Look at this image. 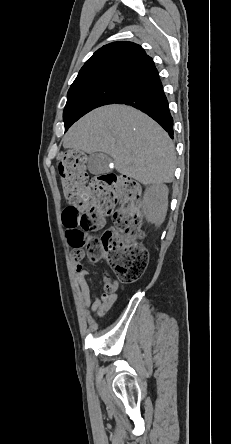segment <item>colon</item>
<instances>
[{
  "instance_id": "obj_1",
  "label": "colon",
  "mask_w": 231,
  "mask_h": 444,
  "mask_svg": "<svg viewBox=\"0 0 231 444\" xmlns=\"http://www.w3.org/2000/svg\"><path fill=\"white\" fill-rule=\"evenodd\" d=\"M85 155L75 150L62 152L58 170L68 206L63 211L66 229L81 234L97 231L112 214L114 229L101 237H84L85 256L91 263L105 257L112 273L104 275V293L112 294L119 283L141 278L148 265V252L138 242L142 235L141 187L137 181L112 173L88 179Z\"/></svg>"
}]
</instances>
